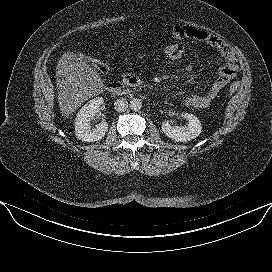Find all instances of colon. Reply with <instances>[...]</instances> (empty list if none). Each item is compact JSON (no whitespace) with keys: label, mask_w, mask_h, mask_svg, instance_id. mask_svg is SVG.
<instances>
[{"label":"colon","mask_w":272,"mask_h":272,"mask_svg":"<svg viewBox=\"0 0 272 272\" xmlns=\"http://www.w3.org/2000/svg\"><path fill=\"white\" fill-rule=\"evenodd\" d=\"M162 54L170 61H181L187 57L188 51L187 48L180 42H170L166 43L162 47ZM97 67L100 70H107V66L104 63L97 62ZM239 83L234 82L228 88V93L233 94L239 89Z\"/></svg>","instance_id":"obj_1"}]
</instances>
